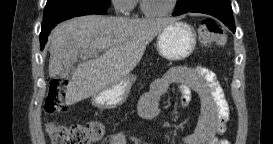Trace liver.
<instances>
[{"instance_id":"obj_1","label":"liver","mask_w":273,"mask_h":144,"mask_svg":"<svg viewBox=\"0 0 273 144\" xmlns=\"http://www.w3.org/2000/svg\"><path fill=\"white\" fill-rule=\"evenodd\" d=\"M173 18L128 19L87 15L56 26L49 37L51 78L79 63L69 80L65 103L73 105L124 79L140 62L154 37ZM102 55L97 57V54Z\"/></svg>"}]
</instances>
